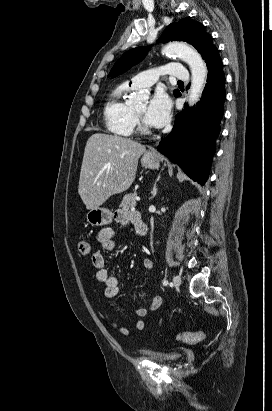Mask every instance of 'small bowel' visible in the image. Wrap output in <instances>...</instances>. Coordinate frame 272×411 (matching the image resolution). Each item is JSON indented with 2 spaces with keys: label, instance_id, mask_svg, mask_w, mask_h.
<instances>
[{
  "label": "small bowel",
  "instance_id": "small-bowel-1",
  "mask_svg": "<svg viewBox=\"0 0 272 411\" xmlns=\"http://www.w3.org/2000/svg\"><path fill=\"white\" fill-rule=\"evenodd\" d=\"M140 217L139 213L136 211H131L128 209H122L115 214V220L122 226L126 227L129 224L134 225V218ZM115 232L111 228H104L100 230L97 234V241L101 244L104 250L112 251L116 247L114 241ZM92 264L96 269V279L104 285L103 294L106 298H114L118 295L121 289L120 282L118 278L108 272L106 267L105 258L101 251H95L91 255ZM143 269L150 271L153 269V262L150 259H144L142 261ZM162 304V298L160 296H154L148 308L137 307L134 309V314L138 318L145 317L149 312L157 310ZM104 319L106 322L116 331L123 335H128L130 331L118 324L109 313L104 314ZM135 331H142L145 328V323L141 319L136 320L133 325Z\"/></svg>",
  "mask_w": 272,
  "mask_h": 411
}]
</instances>
